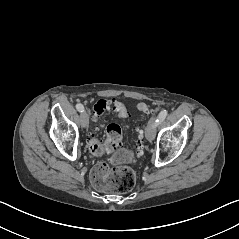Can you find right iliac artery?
Returning <instances> with one entry per match:
<instances>
[{
  "instance_id": "82829eb1",
  "label": "right iliac artery",
  "mask_w": 239,
  "mask_h": 239,
  "mask_svg": "<svg viewBox=\"0 0 239 239\" xmlns=\"http://www.w3.org/2000/svg\"><path fill=\"white\" fill-rule=\"evenodd\" d=\"M76 109H77L79 112H83V111H84V106H83L81 103H79V104L76 105Z\"/></svg>"
}]
</instances>
